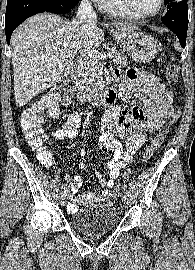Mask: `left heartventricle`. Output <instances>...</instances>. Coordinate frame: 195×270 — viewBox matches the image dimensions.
Returning <instances> with one entry per match:
<instances>
[{"label":"left heart ventricle","mask_w":195,"mask_h":270,"mask_svg":"<svg viewBox=\"0 0 195 270\" xmlns=\"http://www.w3.org/2000/svg\"><path fill=\"white\" fill-rule=\"evenodd\" d=\"M133 8L141 14L154 12L159 5V0H130Z\"/></svg>","instance_id":"1"}]
</instances>
